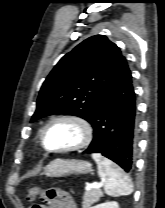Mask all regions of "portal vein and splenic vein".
<instances>
[{
    "label": "portal vein and splenic vein",
    "mask_w": 165,
    "mask_h": 208,
    "mask_svg": "<svg viewBox=\"0 0 165 208\" xmlns=\"http://www.w3.org/2000/svg\"><path fill=\"white\" fill-rule=\"evenodd\" d=\"M103 184L102 183H88L85 187L86 191H89L93 188H100Z\"/></svg>",
    "instance_id": "portal-vein-and-splenic-vein-1"
}]
</instances>
